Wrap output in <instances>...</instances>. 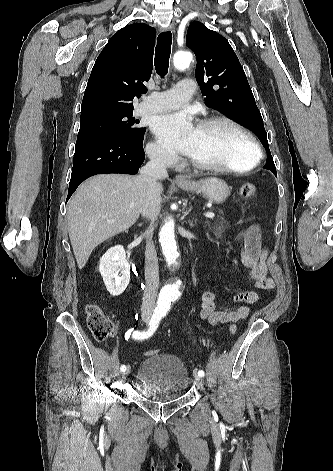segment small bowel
Returning a JSON list of instances; mask_svg holds the SVG:
<instances>
[{
  "label": "small bowel",
  "mask_w": 333,
  "mask_h": 471,
  "mask_svg": "<svg viewBox=\"0 0 333 471\" xmlns=\"http://www.w3.org/2000/svg\"><path fill=\"white\" fill-rule=\"evenodd\" d=\"M240 261L243 266L250 269L252 285L260 290H271L274 281L268 275L266 264L267 252L261 245L260 229L252 225L240 233ZM216 294L213 291H205L201 297L200 317L212 325H221L238 322L246 319L250 314V305L259 302L260 297L256 291L244 290L234 294L232 300L237 303L231 308H218Z\"/></svg>",
  "instance_id": "1"
}]
</instances>
